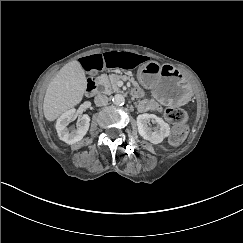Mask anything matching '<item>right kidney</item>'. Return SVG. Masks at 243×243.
Instances as JSON below:
<instances>
[{
    "instance_id": "obj_1",
    "label": "right kidney",
    "mask_w": 243,
    "mask_h": 243,
    "mask_svg": "<svg viewBox=\"0 0 243 243\" xmlns=\"http://www.w3.org/2000/svg\"><path fill=\"white\" fill-rule=\"evenodd\" d=\"M74 113L75 109L68 110L64 112L56 122V130L59 139L67 144H74L80 141L89 129L90 117L87 114H84L78 118L77 129L69 131L67 126L71 122Z\"/></svg>"
}]
</instances>
